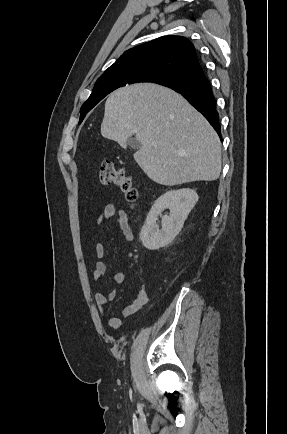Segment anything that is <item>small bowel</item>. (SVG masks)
I'll return each instance as SVG.
<instances>
[{
	"mask_svg": "<svg viewBox=\"0 0 287 434\" xmlns=\"http://www.w3.org/2000/svg\"><path fill=\"white\" fill-rule=\"evenodd\" d=\"M113 218H115L116 223L125 238L126 241H132L133 239V230L130 224L129 217L127 213L117 208L114 204L106 205L103 210L99 213V215L95 219V224L97 226H106ZM105 252V247L102 243H98L95 246V256L97 258L94 266V270L92 273L93 279L98 282L104 276L107 270V265L103 260ZM113 282L116 284H120L125 279L124 271H117L112 276ZM117 296V291L112 289L107 295L102 293L101 291H97L94 294V301L98 306V309L106 320L109 326L113 329H119L122 326V320L119 317L113 316L109 314L106 309V305L114 300ZM148 303V296L143 287L139 288L134 293V298L131 304L124 307L121 315L122 317H130L144 308Z\"/></svg>",
	"mask_w": 287,
	"mask_h": 434,
	"instance_id": "small-bowel-1",
	"label": "small bowel"
}]
</instances>
